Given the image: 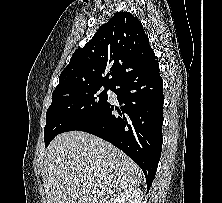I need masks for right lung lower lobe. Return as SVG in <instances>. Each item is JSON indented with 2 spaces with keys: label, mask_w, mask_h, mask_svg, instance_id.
Returning <instances> with one entry per match:
<instances>
[{
  "label": "right lung lower lobe",
  "mask_w": 222,
  "mask_h": 203,
  "mask_svg": "<svg viewBox=\"0 0 222 203\" xmlns=\"http://www.w3.org/2000/svg\"><path fill=\"white\" fill-rule=\"evenodd\" d=\"M110 90L117 95L121 107L106 101L63 132H88L121 149L140 166L149 190L162 150L164 96L159 64L154 59L127 72Z\"/></svg>",
  "instance_id": "obj_1"
}]
</instances>
